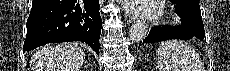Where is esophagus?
<instances>
[{
	"mask_svg": "<svg viewBox=\"0 0 230 71\" xmlns=\"http://www.w3.org/2000/svg\"><path fill=\"white\" fill-rule=\"evenodd\" d=\"M125 20L127 21V23H132L135 20V17L131 15L127 9L125 11Z\"/></svg>",
	"mask_w": 230,
	"mask_h": 71,
	"instance_id": "34e87169",
	"label": "esophagus"
}]
</instances>
